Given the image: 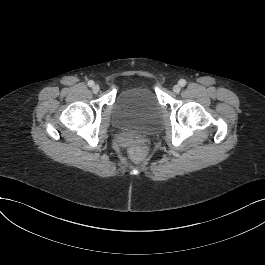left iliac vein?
<instances>
[{
	"label": "left iliac vein",
	"mask_w": 265,
	"mask_h": 265,
	"mask_svg": "<svg viewBox=\"0 0 265 265\" xmlns=\"http://www.w3.org/2000/svg\"><path fill=\"white\" fill-rule=\"evenodd\" d=\"M180 90H181V87L179 86V85H175L174 87H173V91L175 92V93H179L180 92Z\"/></svg>",
	"instance_id": "1"
}]
</instances>
